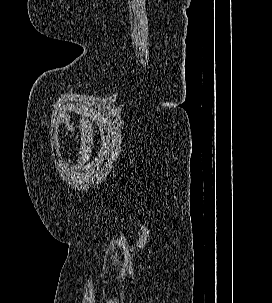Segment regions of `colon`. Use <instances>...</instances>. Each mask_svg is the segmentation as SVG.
<instances>
[{"label":"colon","instance_id":"obj_1","mask_svg":"<svg viewBox=\"0 0 272 303\" xmlns=\"http://www.w3.org/2000/svg\"><path fill=\"white\" fill-rule=\"evenodd\" d=\"M92 144L91 122L85 118L82 121V146L78 158V164L83 163L89 156Z\"/></svg>","mask_w":272,"mask_h":303}]
</instances>
